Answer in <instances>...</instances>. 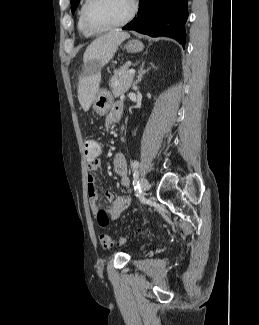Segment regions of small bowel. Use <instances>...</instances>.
I'll use <instances>...</instances> for the list:
<instances>
[{"label":"small bowel","mask_w":259,"mask_h":325,"mask_svg":"<svg viewBox=\"0 0 259 325\" xmlns=\"http://www.w3.org/2000/svg\"><path fill=\"white\" fill-rule=\"evenodd\" d=\"M123 112V104L121 101H117L113 104L109 114L106 117V126L109 127L111 124L120 121ZM101 146L98 144V153L95 157H86L88 162V176H87V190L88 196L93 207H96L98 200V190L96 186L95 173L100 169L101 162L99 155L101 154ZM113 169L114 172L120 178V184L122 187H128L130 180L127 176V161L122 153H117L113 158ZM104 199L110 203V208L107 214L110 218H118L130 205L131 199L129 196L120 195L115 196L112 192H106Z\"/></svg>","instance_id":"small-bowel-1"}]
</instances>
